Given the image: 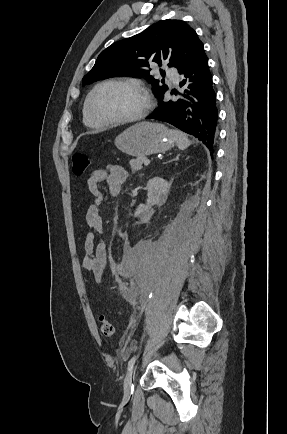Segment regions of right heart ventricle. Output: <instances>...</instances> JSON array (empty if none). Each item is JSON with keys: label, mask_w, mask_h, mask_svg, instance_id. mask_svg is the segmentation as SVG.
I'll list each match as a JSON object with an SVG mask.
<instances>
[{"label": "right heart ventricle", "mask_w": 287, "mask_h": 434, "mask_svg": "<svg viewBox=\"0 0 287 434\" xmlns=\"http://www.w3.org/2000/svg\"><path fill=\"white\" fill-rule=\"evenodd\" d=\"M82 114H83V122H84L87 126H90V127H99V126H100V125H98L97 123H95V122H94V121L89 117V115H88V113H87V111H86L85 104H84V106H83Z\"/></svg>", "instance_id": "1"}]
</instances>
